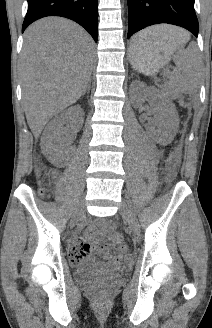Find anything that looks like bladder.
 <instances>
[{"label": "bladder", "instance_id": "bladder-1", "mask_svg": "<svg viewBox=\"0 0 212 328\" xmlns=\"http://www.w3.org/2000/svg\"><path fill=\"white\" fill-rule=\"evenodd\" d=\"M113 274L102 273L94 268L90 261L82 262L78 265V270L75 272L74 277L77 282L83 284L94 283L99 280L114 277Z\"/></svg>", "mask_w": 212, "mask_h": 328}]
</instances>
